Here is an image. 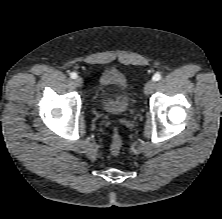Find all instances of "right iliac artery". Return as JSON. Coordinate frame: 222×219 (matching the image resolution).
Returning a JSON list of instances; mask_svg holds the SVG:
<instances>
[{"label": "right iliac artery", "instance_id": "obj_1", "mask_svg": "<svg viewBox=\"0 0 222 219\" xmlns=\"http://www.w3.org/2000/svg\"><path fill=\"white\" fill-rule=\"evenodd\" d=\"M70 77L72 79H76L77 78V74L75 72L70 73Z\"/></svg>", "mask_w": 222, "mask_h": 219}]
</instances>
